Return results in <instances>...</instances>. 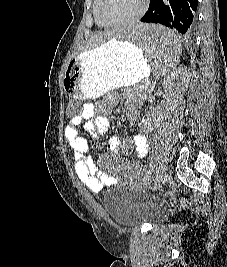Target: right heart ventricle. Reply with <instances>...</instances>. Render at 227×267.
Segmentation results:
<instances>
[{
    "mask_svg": "<svg viewBox=\"0 0 227 267\" xmlns=\"http://www.w3.org/2000/svg\"><path fill=\"white\" fill-rule=\"evenodd\" d=\"M99 3H100V0H94V3H93V15H94V19H95L96 23L99 26H108L109 24H107L106 22H104L102 20V18L100 17V14H99Z\"/></svg>",
    "mask_w": 227,
    "mask_h": 267,
    "instance_id": "right-heart-ventricle-1",
    "label": "right heart ventricle"
}]
</instances>
